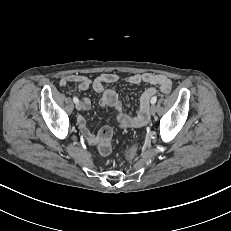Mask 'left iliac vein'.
<instances>
[{
  "instance_id": "1",
  "label": "left iliac vein",
  "mask_w": 231,
  "mask_h": 231,
  "mask_svg": "<svg viewBox=\"0 0 231 231\" xmlns=\"http://www.w3.org/2000/svg\"><path fill=\"white\" fill-rule=\"evenodd\" d=\"M155 112H156V106H155V105H152V106L150 107V114H151V115H154Z\"/></svg>"
}]
</instances>
